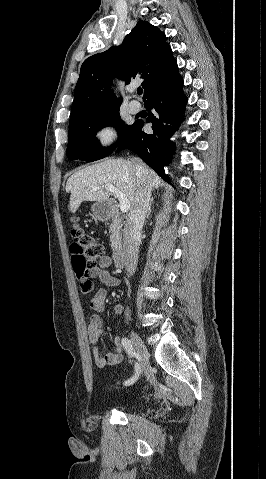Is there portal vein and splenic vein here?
Here are the masks:
<instances>
[{
	"label": "portal vein and splenic vein",
	"instance_id": "portal-vein-and-splenic-vein-1",
	"mask_svg": "<svg viewBox=\"0 0 266 479\" xmlns=\"http://www.w3.org/2000/svg\"><path fill=\"white\" fill-rule=\"evenodd\" d=\"M105 190L113 193L119 200L120 202V211L122 213H126L128 212V210L130 209V202L129 200L126 198V196L119 190L117 189L116 187H114L113 185H105L104 186ZM94 190H99L100 188L99 187H93Z\"/></svg>",
	"mask_w": 266,
	"mask_h": 479
}]
</instances>
